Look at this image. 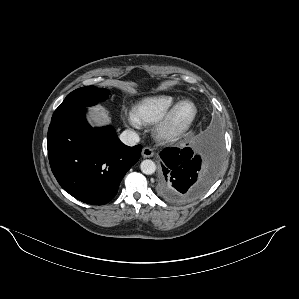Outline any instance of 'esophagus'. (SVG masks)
<instances>
[{
    "instance_id": "esophagus-1",
    "label": "esophagus",
    "mask_w": 299,
    "mask_h": 299,
    "mask_svg": "<svg viewBox=\"0 0 299 299\" xmlns=\"http://www.w3.org/2000/svg\"><path fill=\"white\" fill-rule=\"evenodd\" d=\"M154 150L150 147H144L143 150H142V156L144 158H150V157H153L154 156Z\"/></svg>"
}]
</instances>
